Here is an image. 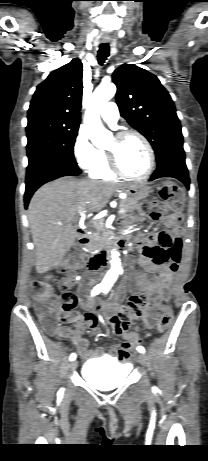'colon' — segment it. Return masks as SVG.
<instances>
[{
	"instance_id": "1",
	"label": "colon",
	"mask_w": 208,
	"mask_h": 461,
	"mask_svg": "<svg viewBox=\"0 0 208 461\" xmlns=\"http://www.w3.org/2000/svg\"><path fill=\"white\" fill-rule=\"evenodd\" d=\"M183 203V193L181 188L173 182H166L159 188V199L146 201L142 204L144 213L151 218L158 219L161 213L169 210L165 216L167 223L174 224L182 219L180 209ZM142 251H165L158 250L156 245H144ZM59 289L65 291L66 284L63 280H57L53 275H46L32 283V296L35 307L44 330L51 336L60 334V324L58 313H66L70 309L62 308V301L54 291ZM172 322V310L169 306H164L158 323V331L163 332ZM140 340H125L124 344L119 345V350L126 354L133 355L134 348H140Z\"/></svg>"
}]
</instances>
